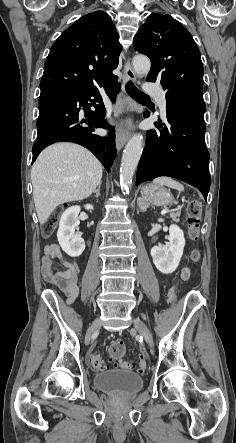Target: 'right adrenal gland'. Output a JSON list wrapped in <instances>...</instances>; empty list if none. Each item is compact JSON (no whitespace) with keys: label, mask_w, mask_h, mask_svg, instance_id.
Returning <instances> with one entry per match:
<instances>
[{"label":"right adrenal gland","mask_w":236,"mask_h":443,"mask_svg":"<svg viewBox=\"0 0 236 443\" xmlns=\"http://www.w3.org/2000/svg\"><path fill=\"white\" fill-rule=\"evenodd\" d=\"M100 187H101V183L98 185V188L95 190V196L98 198L100 195Z\"/></svg>","instance_id":"right-adrenal-gland-1"}]
</instances>
